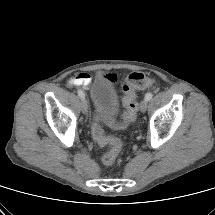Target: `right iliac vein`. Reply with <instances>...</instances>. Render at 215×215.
<instances>
[{
    "instance_id": "1",
    "label": "right iliac vein",
    "mask_w": 215,
    "mask_h": 215,
    "mask_svg": "<svg viewBox=\"0 0 215 215\" xmlns=\"http://www.w3.org/2000/svg\"><path fill=\"white\" fill-rule=\"evenodd\" d=\"M81 108H82L83 114H87V112H88V103L85 100V98L82 99V101H81Z\"/></svg>"
}]
</instances>
